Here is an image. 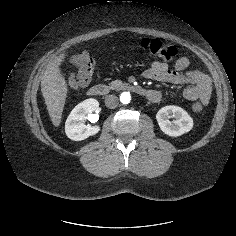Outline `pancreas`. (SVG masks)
<instances>
[{
    "instance_id": "pancreas-1",
    "label": "pancreas",
    "mask_w": 236,
    "mask_h": 236,
    "mask_svg": "<svg viewBox=\"0 0 236 236\" xmlns=\"http://www.w3.org/2000/svg\"><path fill=\"white\" fill-rule=\"evenodd\" d=\"M122 85H124V83L120 80H115V81H112L110 84H109V88L110 89H116V88H119L121 87Z\"/></svg>"
}]
</instances>
